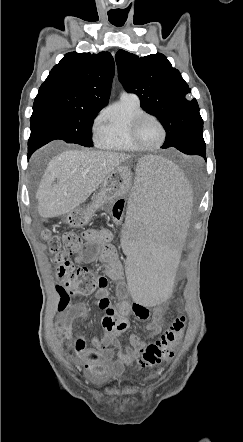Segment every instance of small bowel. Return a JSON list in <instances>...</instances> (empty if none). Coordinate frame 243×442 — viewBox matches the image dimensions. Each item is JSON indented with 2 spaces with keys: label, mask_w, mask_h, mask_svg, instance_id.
I'll return each mask as SVG.
<instances>
[{
  "label": "small bowel",
  "mask_w": 243,
  "mask_h": 442,
  "mask_svg": "<svg viewBox=\"0 0 243 442\" xmlns=\"http://www.w3.org/2000/svg\"><path fill=\"white\" fill-rule=\"evenodd\" d=\"M82 237L88 247L80 256L83 262H98L105 268L106 276L117 282L116 292L122 297L117 302H112L108 296L109 283L105 276L96 278L95 306L102 311L101 324L103 332L89 340L80 334L74 344L70 345L74 350L73 362L82 366L87 375L96 381H106L120 376L124 370L133 363L146 345V340L139 335L130 336V345L123 347L119 336L128 328L127 317L133 311L139 319H149L147 325V338L157 336L162 328V309L156 307L149 314L147 307H137L124 299L127 295L128 284L124 281L123 265L115 247L111 244L113 234L109 229H87L82 232ZM62 319L58 323L61 336L75 334L73 323L77 319L88 317V305L77 302L69 307H59Z\"/></svg>",
  "instance_id": "1"
}]
</instances>
